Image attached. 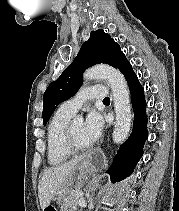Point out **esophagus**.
Returning <instances> with one entry per match:
<instances>
[{"mask_svg":"<svg viewBox=\"0 0 179 211\" xmlns=\"http://www.w3.org/2000/svg\"><path fill=\"white\" fill-rule=\"evenodd\" d=\"M89 158L93 171H100L101 167L106 163L105 154H102L101 151H90Z\"/></svg>","mask_w":179,"mask_h":211,"instance_id":"34e87169","label":"esophagus"}]
</instances>
